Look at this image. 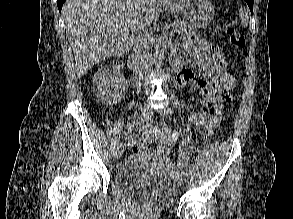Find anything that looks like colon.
<instances>
[{
    "instance_id": "colon-1",
    "label": "colon",
    "mask_w": 293,
    "mask_h": 219,
    "mask_svg": "<svg viewBox=\"0 0 293 219\" xmlns=\"http://www.w3.org/2000/svg\"><path fill=\"white\" fill-rule=\"evenodd\" d=\"M226 33L228 35L229 43L234 49H240L245 46V38L241 35L233 23L228 22L226 24ZM212 54L215 62L224 69L226 67V61L223 51L219 47H213ZM118 64L121 63L118 62ZM212 136L213 128L206 127L202 135L203 142L207 143L210 141ZM176 142L177 140L171 135L170 132H165L163 140L160 141L158 145L159 154L162 156H168L171 152V147L174 146Z\"/></svg>"
}]
</instances>
